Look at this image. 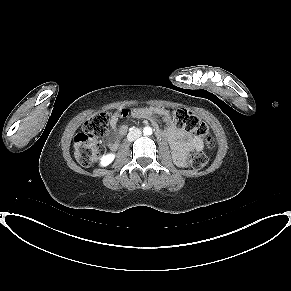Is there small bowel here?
<instances>
[{"label": "small bowel", "mask_w": 291, "mask_h": 291, "mask_svg": "<svg viewBox=\"0 0 291 291\" xmlns=\"http://www.w3.org/2000/svg\"><path fill=\"white\" fill-rule=\"evenodd\" d=\"M120 112L121 111H117L112 115L110 121L111 130L105 136V141L111 150L117 149L121 137L127 131L125 125L119 124V119L121 117ZM153 115L161 117L165 122L163 128L157 129V134L169 142L177 160H181L184 154L189 151L202 149V139L200 137L192 136L186 131L180 129L166 109L150 106L134 109L131 112L133 118H148Z\"/></svg>", "instance_id": "obj_1"}]
</instances>
